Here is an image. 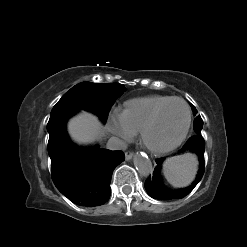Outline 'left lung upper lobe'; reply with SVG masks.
<instances>
[{"label":"left lung upper lobe","instance_id":"left-lung-upper-lobe-1","mask_svg":"<svg viewBox=\"0 0 247 247\" xmlns=\"http://www.w3.org/2000/svg\"><path fill=\"white\" fill-rule=\"evenodd\" d=\"M192 108H193L194 114H196L197 113L196 108L193 105H192ZM202 127H203V120H202L201 116L199 115L194 120V129L196 131V135L201 136Z\"/></svg>","mask_w":247,"mask_h":247}]
</instances>
